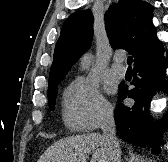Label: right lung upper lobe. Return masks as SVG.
<instances>
[{
	"mask_svg": "<svg viewBox=\"0 0 168 162\" xmlns=\"http://www.w3.org/2000/svg\"><path fill=\"white\" fill-rule=\"evenodd\" d=\"M153 7L142 0H120L105 14L106 31L113 48L126 49L135 63L162 48L152 24ZM93 35L90 10L71 14L64 22L54 51L48 85L62 81L72 65L89 48Z\"/></svg>",
	"mask_w": 168,
	"mask_h": 162,
	"instance_id": "cb5924a9",
	"label": "right lung upper lobe"
}]
</instances>
